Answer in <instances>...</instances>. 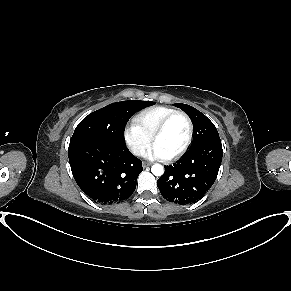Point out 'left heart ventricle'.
I'll use <instances>...</instances> for the list:
<instances>
[{"label":"left heart ventricle","mask_w":291,"mask_h":291,"mask_svg":"<svg viewBox=\"0 0 291 291\" xmlns=\"http://www.w3.org/2000/svg\"><path fill=\"white\" fill-rule=\"evenodd\" d=\"M188 127L185 119L177 116L169 123L162 135L156 140L155 144L159 145L169 156L179 151L186 142Z\"/></svg>","instance_id":"obj_1"}]
</instances>
